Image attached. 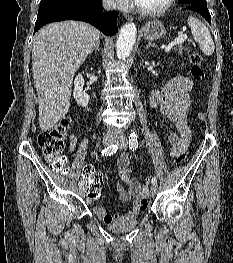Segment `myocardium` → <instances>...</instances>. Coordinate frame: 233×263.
<instances>
[{"mask_svg": "<svg viewBox=\"0 0 233 263\" xmlns=\"http://www.w3.org/2000/svg\"><path fill=\"white\" fill-rule=\"evenodd\" d=\"M175 3V0H167L166 3L157 9H144L138 6L136 3L134 4L135 10L145 16H159L167 12Z\"/></svg>", "mask_w": 233, "mask_h": 263, "instance_id": "obj_1", "label": "myocardium"}]
</instances>
